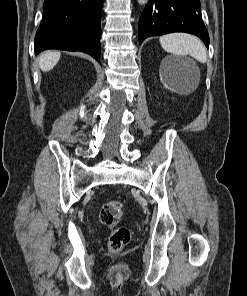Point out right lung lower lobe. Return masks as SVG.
<instances>
[{
    "mask_svg": "<svg viewBox=\"0 0 247 296\" xmlns=\"http://www.w3.org/2000/svg\"><path fill=\"white\" fill-rule=\"evenodd\" d=\"M103 0H45L35 53L46 49L85 52L100 58Z\"/></svg>",
    "mask_w": 247,
    "mask_h": 296,
    "instance_id": "98d812e1",
    "label": "right lung lower lobe"
}]
</instances>
